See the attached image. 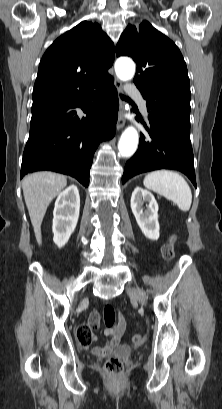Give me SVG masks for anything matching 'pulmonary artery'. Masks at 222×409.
<instances>
[{"instance_id":"e3ab8cb5","label":"pulmonary artery","mask_w":222,"mask_h":409,"mask_svg":"<svg viewBox=\"0 0 222 409\" xmlns=\"http://www.w3.org/2000/svg\"><path fill=\"white\" fill-rule=\"evenodd\" d=\"M126 92L129 95L135 96L139 102V105L141 107V109L146 112V101L143 99V97L141 96L139 90L134 87V86H129L126 88Z\"/></svg>"}]
</instances>
